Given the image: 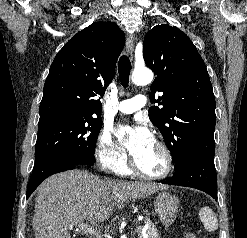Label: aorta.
I'll return each mask as SVG.
<instances>
[{"label":"aorta","instance_id":"1","mask_svg":"<svg viewBox=\"0 0 247 238\" xmlns=\"http://www.w3.org/2000/svg\"><path fill=\"white\" fill-rule=\"evenodd\" d=\"M153 80V73L149 69L134 70L132 82L136 85H147Z\"/></svg>","mask_w":247,"mask_h":238}]
</instances>
